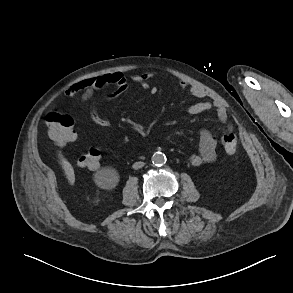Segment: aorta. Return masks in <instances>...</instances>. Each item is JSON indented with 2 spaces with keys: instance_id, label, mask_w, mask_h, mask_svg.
I'll use <instances>...</instances> for the list:
<instances>
[{
  "instance_id": "obj_1",
  "label": "aorta",
  "mask_w": 293,
  "mask_h": 293,
  "mask_svg": "<svg viewBox=\"0 0 293 293\" xmlns=\"http://www.w3.org/2000/svg\"><path fill=\"white\" fill-rule=\"evenodd\" d=\"M152 163L156 166H161L163 164H165L166 162V156L164 153L162 152H155L153 155H152Z\"/></svg>"
}]
</instances>
